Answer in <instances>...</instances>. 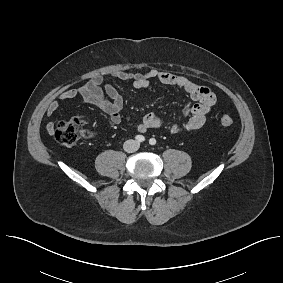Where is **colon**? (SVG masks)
I'll list each match as a JSON object with an SVG mask.
<instances>
[{
	"mask_svg": "<svg viewBox=\"0 0 283 283\" xmlns=\"http://www.w3.org/2000/svg\"><path fill=\"white\" fill-rule=\"evenodd\" d=\"M233 119L224 115L220 118V124L223 127H231ZM94 133L87 127L86 118L82 115H76L68 120L59 122L55 126V139L66 147H72L77 144L81 138H91Z\"/></svg>",
	"mask_w": 283,
	"mask_h": 283,
	"instance_id": "5ec220e1",
	"label": "colon"
}]
</instances>
